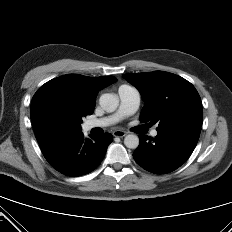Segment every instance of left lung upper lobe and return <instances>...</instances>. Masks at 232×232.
I'll use <instances>...</instances> for the list:
<instances>
[{"label":"left lung upper lobe","mask_w":232,"mask_h":232,"mask_svg":"<svg viewBox=\"0 0 232 232\" xmlns=\"http://www.w3.org/2000/svg\"><path fill=\"white\" fill-rule=\"evenodd\" d=\"M141 93L145 106L141 122H159L158 128L178 125L201 127L203 112L195 87L184 78L163 71L124 74Z\"/></svg>","instance_id":"left-lung-upper-lobe-1"}]
</instances>
